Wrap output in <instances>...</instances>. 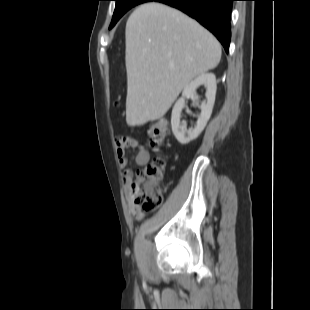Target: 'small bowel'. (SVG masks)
<instances>
[{"label": "small bowel", "instance_id": "obj_1", "mask_svg": "<svg viewBox=\"0 0 310 310\" xmlns=\"http://www.w3.org/2000/svg\"><path fill=\"white\" fill-rule=\"evenodd\" d=\"M116 145V154L118 158L119 165L122 168H126L128 166V159L126 156V151L128 148L137 149L136 154V164L143 166L146 165L150 161V152L148 148L141 144L136 138L133 136H119L115 139ZM133 177L132 171L130 169H125L123 173V181L125 184V195L128 201V207L130 213L136 219H142L145 216V211L142 210L139 206L135 205L133 200V195L129 190V183Z\"/></svg>", "mask_w": 310, "mask_h": 310}]
</instances>
